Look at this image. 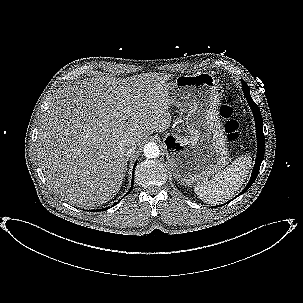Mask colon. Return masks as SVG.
<instances>
[{
    "label": "colon",
    "mask_w": 303,
    "mask_h": 303,
    "mask_svg": "<svg viewBox=\"0 0 303 303\" xmlns=\"http://www.w3.org/2000/svg\"><path fill=\"white\" fill-rule=\"evenodd\" d=\"M234 114L233 97L228 96L220 108V115L224 120V132L229 142H235L239 137V123Z\"/></svg>",
    "instance_id": "obj_1"
}]
</instances>
